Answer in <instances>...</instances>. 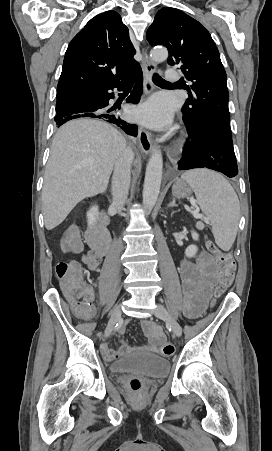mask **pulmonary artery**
<instances>
[{
	"instance_id": "e3ab8cb5",
	"label": "pulmonary artery",
	"mask_w": 272,
	"mask_h": 451,
	"mask_svg": "<svg viewBox=\"0 0 272 451\" xmlns=\"http://www.w3.org/2000/svg\"><path fill=\"white\" fill-rule=\"evenodd\" d=\"M166 76L168 77V80L170 82H174V83L176 81H178V79H179L178 72H177V70H176V68L174 66H171L169 68V70L166 73Z\"/></svg>"
}]
</instances>
